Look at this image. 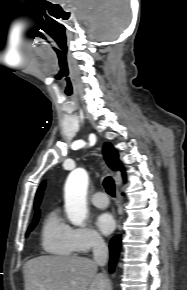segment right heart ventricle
<instances>
[{"mask_svg": "<svg viewBox=\"0 0 187 290\" xmlns=\"http://www.w3.org/2000/svg\"><path fill=\"white\" fill-rule=\"evenodd\" d=\"M41 244L52 255L69 257L75 252L72 229L62 220L56 209L51 210L44 219Z\"/></svg>", "mask_w": 187, "mask_h": 290, "instance_id": "1", "label": "right heart ventricle"}]
</instances>
